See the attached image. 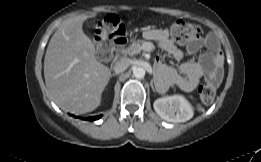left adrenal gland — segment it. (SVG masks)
Masks as SVG:
<instances>
[{
	"label": "left adrenal gland",
	"instance_id": "left-adrenal-gland-1",
	"mask_svg": "<svg viewBox=\"0 0 261 162\" xmlns=\"http://www.w3.org/2000/svg\"><path fill=\"white\" fill-rule=\"evenodd\" d=\"M151 86H152V89L154 90V87H153V85L151 84Z\"/></svg>",
	"mask_w": 261,
	"mask_h": 162
}]
</instances>
